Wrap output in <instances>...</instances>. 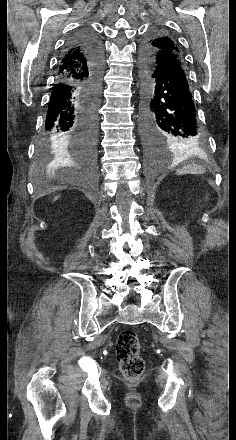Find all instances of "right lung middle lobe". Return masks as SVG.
<instances>
[{
  "mask_svg": "<svg viewBox=\"0 0 236 440\" xmlns=\"http://www.w3.org/2000/svg\"><path fill=\"white\" fill-rule=\"evenodd\" d=\"M87 93L90 99L94 102L95 106L98 107L99 99H100V91L96 86H88ZM57 145L56 141L53 139H46L42 142L40 150L38 152V161L41 163L48 162L52 159L53 155L50 152L51 146ZM92 163H94V159H92Z\"/></svg>",
  "mask_w": 236,
  "mask_h": 440,
  "instance_id": "right-lung-middle-lobe-1",
  "label": "right lung middle lobe"
}]
</instances>
